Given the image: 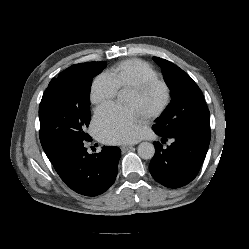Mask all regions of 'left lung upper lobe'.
I'll return each mask as SVG.
<instances>
[{
    "instance_id": "obj_1",
    "label": "left lung upper lobe",
    "mask_w": 249,
    "mask_h": 249,
    "mask_svg": "<svg viewBox=\"0 0 249 249\" xmlns=\"http://www.w3.org/2000/svg\"><path fill=\"white\" fill-rule=\"evenodd\" d=\"M153 60L161 67L171 102L152 129L166 137L211 134L210 113L197 84L175 64L159 57Z\"/></svg>"
}]
</instances>
